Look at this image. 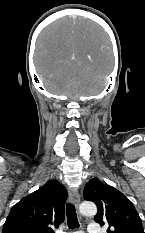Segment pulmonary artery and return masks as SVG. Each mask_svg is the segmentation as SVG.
Segmentation results:
<instances>
[{"instance_id": "obj_1", "label": "pulmonary artery", "mask_w": 145, "mask_h": 233, "mask_svg": "<svg viewBox=\"0 0 145 233\" xmlns=\"http://www.w3.org/2000/svg\"><path fill=\"white\" fill-rule=\"evenodd\" d=\"M87 232L88 233H102V230L99 224L91 223L88 225ZM75 233H81V232H75Z\"/></svg>"}]
</instances>
